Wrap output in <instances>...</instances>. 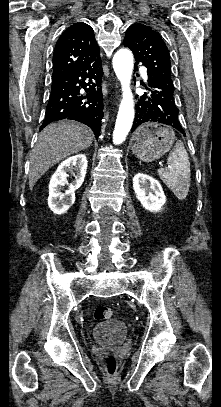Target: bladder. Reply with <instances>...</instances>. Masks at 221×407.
Instances as JSON below:
<instances>
[{"instance_id":"obj_1","label":"bladder","mask_w":221,"mask_h":407,"mask_svg":"<svg viewBox=\"0 0 221 407\" xmlns=\"http://www.w3.org/2000/svg\"><path fill=\"white\" fill-rule=\"evenodd\" d=\"M128 332V326L123 319H112L107 324H98L93 328V337L102 342L118 343L123 341Z\"/></svg>"}]
</instances>
